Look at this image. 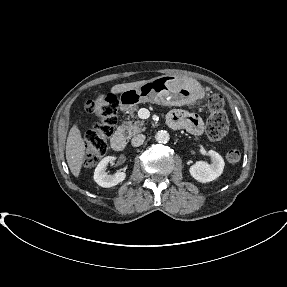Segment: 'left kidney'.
Returning a JSON list of instances; mask_svg holds the SVG:
<instances>
[{"instance_id":"5707ae66","label":"left kidney","mask_w":287,"mask_h":287,"mask_svg":"<svg viewBox=\"0 0 287 287\" xmlns=\"http://www.w3.org/2000/svg\"><path fill=\"white\" fill-rule=\"evenodd\" d=\"M208 154L211 158V164L197 161L189 169L191 176L202 183H207L218 178L222 174L225 165L222 156L216 151L209 150Z\"/></svg>"}]
</instances>
